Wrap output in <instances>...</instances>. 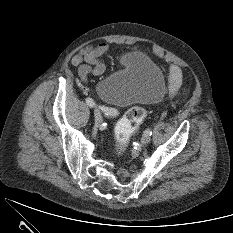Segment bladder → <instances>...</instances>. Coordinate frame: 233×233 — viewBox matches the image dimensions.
Instances as JSON below:
<instances>
[{
    "mask_svg": "<svg viewBox=\"0 0 233 233\" xmlns=\"http://www.w3.org/2000/svg\"><path fill=\"white\" fill-rule=\"evenodd\" d=\"M102 101L118 108L135 104H155L166 93V82L160 67L145 53L130 52L121 67L97 85Z\"/></svg>",
    "mask_w": 233,
    "mask_h": 233,
    "instance_id": "bladder-1",
    "label": "bladder"
}]
</instances>
